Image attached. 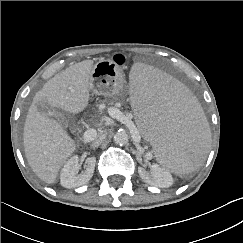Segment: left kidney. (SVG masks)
<instances>
[{
	"instance_id": "obj_1",
	"label": "left kidney",
	"mask_w": 243,
	"mask_h": 243,
	"mask_svg": "<svg viewBox=\"0 0 243 243\" xmlns=\"http://www.w3.org/2000/svg\"><path fill=\"white\" fill-rule=\"evenodd\" d=\"M138 172L144 182L150 185L166 188L173 184V178L170 172L159 165H153L150 172L142 167H139Z\"/></svg>"
}]
</instances>
